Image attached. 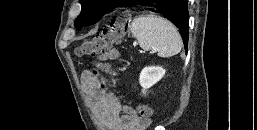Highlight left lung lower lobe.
Here are the masks:
<instances>
[{
  "mask_svg": "<svg viewBox=\"0 0 257 130\" xmlns=\"http://www.w3.org/2000/svg\"><path fill=\"white\" fill-rule=\"evenodd\" d=\"M134 4L147 6L149 10L163 15L179 28L185 50L188 46L189 15L187 0H134Z\"/></svg>",
  "mask_w": 257,
  "mask_h": 130,
  "instance_id": "0a47b994",
  "label": "left lung lower lobe"
}]
</instances>
